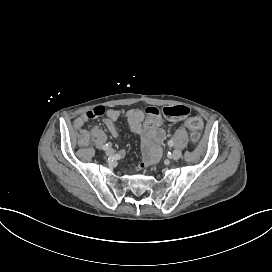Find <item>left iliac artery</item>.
<instances>
[{
	"label": "left iliac artery",
	"instance_id": "left-iliac-artery-1",
	"mask_svg": "<svg viewBox=\"0 0 272 272\" xmlns=\"http://www.w3.org/2000/svg\"><path fill=\"white\" fill-rule=\"evenodd\" d=\"M168 145H169V146H173V145H174L173 140H169V141H168Z\"/></svg>",
	"mask_w": 272,
	"mask_h": 272
}]
</instances>
